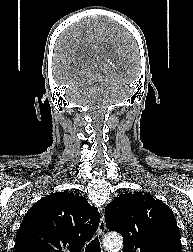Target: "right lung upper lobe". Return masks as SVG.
<instances>
[{"label":"right lung upper lobe","mask_w":193,"mask_h":252,"mask_svg":"<svg viewBox=\"0 0 193 252\" xmlns=\"http://www.w3.org/2000/svg\"><path fill=\"white\" fill-rule=\"evenodd\" d=\"M97 208L73 192H56L36 202L16 234L15 252H79L95 234Z\"/></svg>","instance_id":"right-lung-upper-lobe-1"}]
</instances>
